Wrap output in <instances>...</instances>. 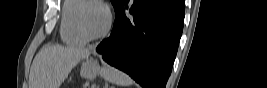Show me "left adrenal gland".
<instances>
[{
    "label": "left adrenal gland",
    "mask_w": 267,
    "mask_h": 88,
    "mask_svg": "<svg viewBox=\"0 0 267 88\" xmlns=\"http://www.w3.org/2000/svg\"><path fill=\"white\" fill-rule=\"evenodd\" d=\"M96 87V86H94ZM97 88H99V86H97ZM104 88H108V84H105Z\"/></svg>",
    "instance_id": "left-adrenal-gland-1"
}]
</instances>
